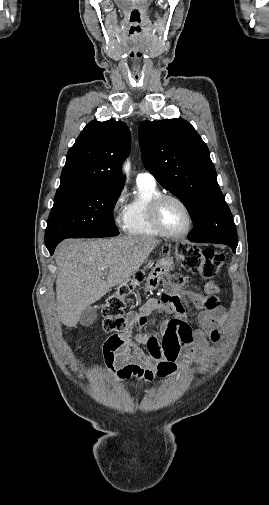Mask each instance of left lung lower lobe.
I'll return each mask as SVG.
<instances>
[{"label": "left lung lower lobe", "mask_w": 269, "mask_h": 505, "mask_svg": "<svg viewBox=\"0 0 269 505\" xmlns=\"http://www.w3.org/2000/svg\"><path fill=\"white\" fill-rule=\"evenodd\" d=\"M193 242H195V241H193ZM226 245H229L232 248L233 252L235 253L237 245H233V244H226Z\"/></svg>", "instance_id": "1"}]
</instances>
